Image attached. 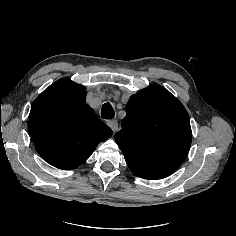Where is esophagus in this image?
<instances>
[{"label":"esophagus","instance_id":"34e87169","mask_svg":"<svg viewBox=\"0 0 236 236\" xmlns=\"http://www.w3.org/2000/svg\"><path fill=\"white\" fill-rule=\"evenodd\" d=\"M108 126L115 132L118 129V122L115 119L108 121Z\"/></svg>","mask_w":236,"mask_h":236}]
</instances>
